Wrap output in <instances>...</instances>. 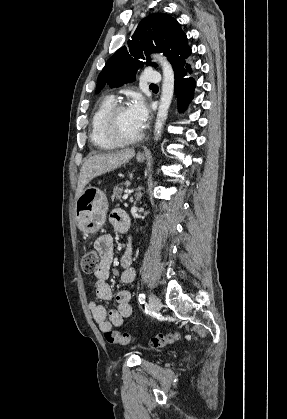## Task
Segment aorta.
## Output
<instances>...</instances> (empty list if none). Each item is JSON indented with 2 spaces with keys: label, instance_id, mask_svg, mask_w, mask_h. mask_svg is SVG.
Masks as SVG:
<instances>
[{
  "label": "aorta",
  "instance_id": "obj_1",
  "mask_svg": "<svg viewBox=\"0 0 287 419\" xmlns=\"http://www.w3.org/2000/svg\"><path fill=\"white\" fill-rule=\"evenodd\" d=\"M154 58H156V60L162 67L163 72L162 94L160 98V104L158 107L156 123L154 126L155 140L157 141L161 136L164 123L168 116V110L171 105L174 93L175 76L171 64L167 61L165 57L161 55H154Z\"/></svg>",
  "mask_w": 287,
  "mask_h": 419
}]
</instances>
